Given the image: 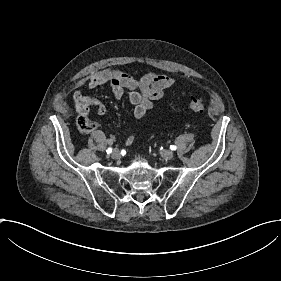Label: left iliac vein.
Instances as JSON below:
<instances>
[{
	"label": "left iliac vein",
	"mask_w": 281,
	"mask_h": 281,
	"mask_svg": "<svg viewBox=\"0 0 281 281\" xmlns=\"http://www.w3.org/2000/svg\"><path fill=\"white\" fill-rule=\"evenodd\" d=\"M159 152H161V154L164 156V158H166V159H170V158H172V156H173V153H172V151H170V150H166V151H164V150H159Z\"/></svg>",
	"instance_id": "4c4485c4"
}]
</instances>
